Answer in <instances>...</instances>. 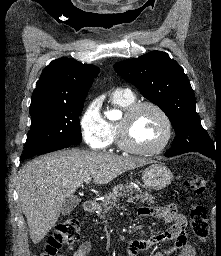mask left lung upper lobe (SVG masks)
Wrapping results in <instances>:
<instances>
[{
    "label": "left lung upper lobe",
    "instance_id": "5c2ea615",
    "mask_svg": "<svg viewBox=\"0 0 221 256\" xmlns=\"http://www.w3.org/2000/svg\"><path fill=\"white\" fill-rule=\"evenodd\" d=\"M114 70L168 116L176 132L171 148L214 146L195 111L194 91L183 68L167 53L151 51L115 63Z\"/></svg>",
    "mask_w": 221,
    "mask_h": 256
}]
</instances>
